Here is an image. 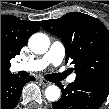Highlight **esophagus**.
Returning a JSON list of instances; mask_svg holds the SVG:
<instances>
[{
  "label": "esophagus",
  "instance_id": "1",
  "mask_svg": "<svg viewBox=\"0 0 109 109\" xmlns=\"http://www.w3.org/2000/svg\"><path fill=\"white\" fill-rule=\"evenodd\" d=\"M40 82L42 83V85L44 86H49L51 83L45 79H40Z\"/></svg>",
  "mask_w": 109,
  "mask_h": 109
}]
</instances>
